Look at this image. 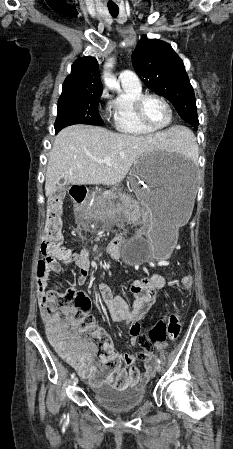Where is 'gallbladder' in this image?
<instances>
[{
	"label": "gallbladder",
	"mask_w": 233,
	"mask_h": 449,
	"mask_svg": "<svg viewBox=\"0 0 233 449\" xmlns=\"http://www.w3.org/2000/svg\"><path fill=\"white\" fill-rule=\"evenodd\" d=\"M66 184V181L65 180H61L60 181V183L58 184V190H57V192H58V194L59 195H64L65 194V190H64V185Z\"/></svg>",
	"instance_id": "bac80fb5"
}]
</instances>
